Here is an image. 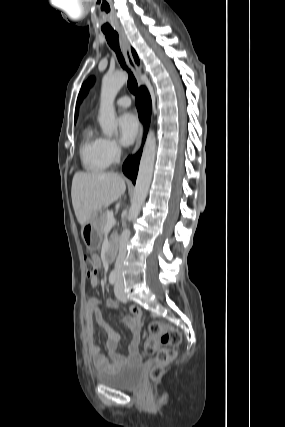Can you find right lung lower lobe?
I'll use <instances>...</instances> for the list:
<instances>
[{
    "instance_id": "obj_1",
    "label": "right lung lower lobe",
    "mask_w": 285,
    "mask_h": 427,
    "mask_svg": "<svg viewBox=\"0 0 285 427\" xmlns=\"http://www.w3.org/2000/svg\"><path fill=\"white\" fill-rule=\"evenodd\" d=\"M136 105L138 108L139 118L144 123L145 129L147 131L151 116V99L145 87L140 88L136 97ZM141 152L142 148L133 157H128L123 165V172L127 177L132 179L134 184L136 182Z\"/></svg>"
}]
</instances>
